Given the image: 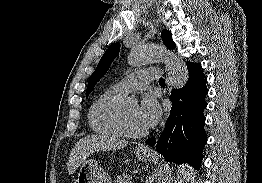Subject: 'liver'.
Returning a JSON list of instances; mask_svg holds the SVG:
<instances>
[{"label": "liver", "mask_w": 262, "mask_h": 183, "mask_svg": "<svg viewBox=\"0 0 262 183\" xmlns=\"http://www.w3.org/2000/svg\"><path fill=\"white\" fill-rule=\"evenodd\" d=\"M125 140H119L107 135H88L80 138L73 147L69 160L68 172L74 173L75 170L85 162L86 158L95 151L116 150L126 147Z\"/></svg>", "instance_id": "1"}]
</instances>
